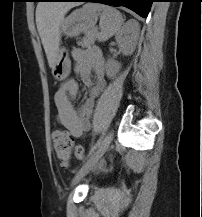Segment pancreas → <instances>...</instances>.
<instances>
[{
    "label": "pancreas",
    "instance_id": "1",
    "mask_svg": "<svg viewBox=\"0 0 202 217\" xmlns=\"http://www.w3.org/2000/svg\"><path fill=\"white\" fill-rule=\"evenodd\" d=\"M98 34L97 31H88L85 33L83 39L79 42L82 47H90L94 44Z\"/></svg>",
    "mask_w": 202,
    "mask_h": 217
}]
</instances>
